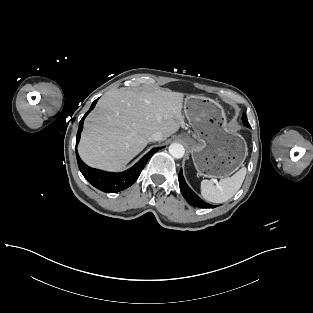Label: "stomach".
I'll list each match as a JSON object with an SVG mask.
<instances>
[{
	"label": "stomach",
	"mask_w": 313,
	"mask_h": 313,
	"mask_svg": "<svg viewBox=\"0 0 313 313\" xmlns=\"http://www.w3.org/2000/svg\"><path fill=\"white\" fill-rule=\"evenodd\" d=\"M184 112L193 129L188 144L194 166L199 175L223 178L242 166L248 155L245 139L231 130L222 106L216 101L199 96H188Z\"/></svg>",
	"instance_id": "obj_1"
}]
</instances>
